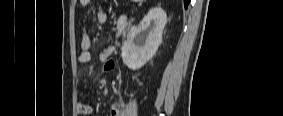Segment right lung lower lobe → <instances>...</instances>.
<instances>
[{
	"label": "right lung lower lobe",
	"instance_id": "right-lung-lower-lobe-1",
	"mask_svg": "<svg viewBox=\"0 0 283 116\" xmlns=\"http://www.w3.org/2000/svg\"><path fill=\"white\" fill-rule=\"evenodd\" d=\"M189 2H190V0H184L185 8H187V7H188Z\"/></svg>",
	"mask_w": 283,
	"mask_h": 116
}]
</instances>
